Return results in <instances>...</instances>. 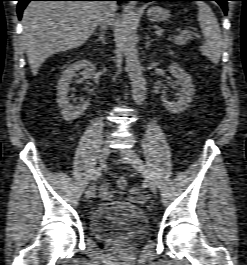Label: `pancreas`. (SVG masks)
Instances as JSON below:
<instances>
[{
  "label": "pancreas",
  "mask_w": 247,
  "mask_h": 265,
  "mask_svg": "<svg viewBox=\"0 0 247 265\" xmlns=\"http://www.w3.org/2000/svg\"><path fill=\"white\" fill-rule=\"evenodd\" d=\"M193 36L194 35L190 33L176 35L173 36V39L171 41L174 42L176 45H185L188 42V40L194 39Z\"/></svg>",
  "instance_id": "1"
}]
</instances>
